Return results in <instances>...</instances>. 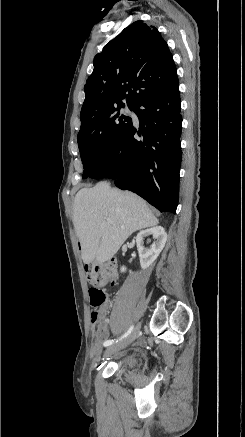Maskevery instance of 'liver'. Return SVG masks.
Here are the masks:
<instances>
[{
    "mask_svg": "<svg viewBox=\"0 0 245 437\" xmlns=\"http://www.w3.org/2000/svg\"><path fill=\"white\" fill-rule=\"evenodd\" d=\"M107 219L112 223H107ZM73 224L83 262L103 263L118 252L133 232L156 226L158 219L137 195L100 182L76 194Z\"/></svg>",
    "mask_w": 245,
    "mask_h": 437,
    "instance_id": "6515ba94",
    "label": "liver"
}]
</instances>
